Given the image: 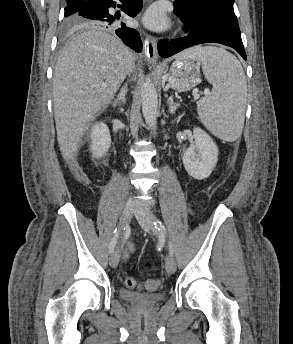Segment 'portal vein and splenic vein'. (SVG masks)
<instances>
[{"label": "portal vein and splenic vein", "instance_id": "portal-vein-and-splenic-vein-1", "mask_svg": "<svg viewBox=\"0 0 293 344\" xmlns=\"http://www.w3.org/2000/svg\"><path fill=\"white\" fill-rule=\"evenodd\" d=\"M209 93H210V92H209V89H205L204 94H205V95H209ZM194 97H195V98H198L199 95L196 94Z\"/></svg>", "mask_w": 293, "mask_h": 344}]
</instances>
